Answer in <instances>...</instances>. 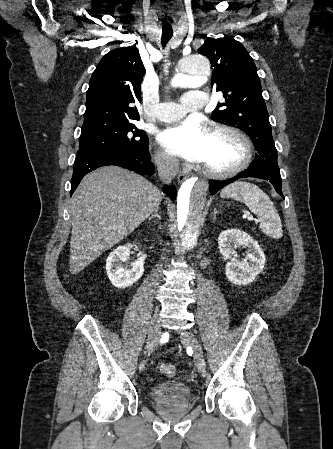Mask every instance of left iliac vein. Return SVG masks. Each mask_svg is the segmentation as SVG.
Wrapping results in <instances>:
<instances>
[{"label": "left iliac vein", "mask_w": 333, "mask_h": 449, "mask_svg": "<svg viewBox=\"0 0 333 449\" xmlns=\"http://www.w3.org/2000/svg\"><path fill=\"white\" fill-rule=\"evenodd\" d=\"M181 340L189 345L194 353L196 369L199 373H203L205 370L202 347L195 336V334L189 330L180 331Z\"/></svg>", "instance_id": "4c4485c4"}]
</instances>
